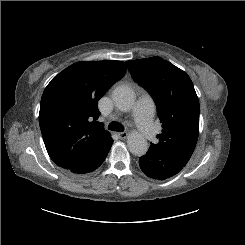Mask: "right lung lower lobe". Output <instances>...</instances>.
Masks as SVG:
<instances>
[{"label":"right lung lower lobe","instance_id":"right-lung-lower-lobe-1","mask_svg":"<svg viewBox=\"0 0 245 245\" xmlns=\"http://www.w3.org/2000/svg\"><path fill=\"white\" fill-rule=\"evenodd\" d=\"M113 140L111 137L107 138L101 143L81 164L69 169L68 171L75 175H83L97 169L105 160Z\"/></svg>","mask_w":245,"mask_h":245}]
</instances>
